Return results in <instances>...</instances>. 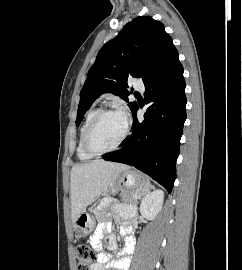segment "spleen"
Returning a JSON list of instances; mask_svg holds the SVG:
<instances>
[{"label":"spleen","instance_id":"1","mask_svg":"<svg viewBox=\"0 0 242 270\" xmlns=\"http://www.w3.org/2000/svg\"><path fill=\"white\" fill-rule=\"evenodd\" d=\"M150 188H151L150 182H149V180H147V183H146V185H145V187L143 189V194L148 193Z\"/></svg>","mask_w":242,"mask_h":270}]
</instances>
